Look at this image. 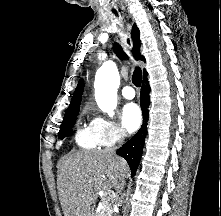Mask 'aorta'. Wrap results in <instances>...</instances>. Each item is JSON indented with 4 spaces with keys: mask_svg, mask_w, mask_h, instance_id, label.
Masks as SVG:
<instances>
[{
    "mask_svg": "<svg viewBox=\"0 0 221 216\" xmlns=\"http://www.w3.org/2000/svg\"><path fill=\"white\" fill-rule=\"evenodd\" d=\"M120 84L119 72L113 61H106L95 76V98L99 108L110 117L117 106V89Z\"/></svg>",
    "mask_w": 221,
    "mask_h": 216,
    "instance_id": "762f6f07",
    "label": "aorta"
}]
</instances>
